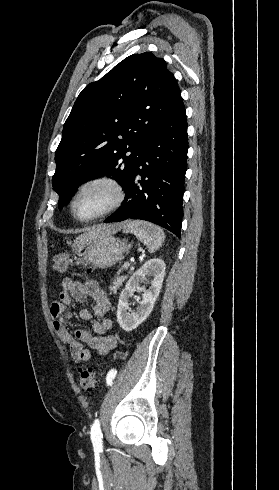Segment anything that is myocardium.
I'll return each mask as SVG.
<instances>
[{"label":"myocardium","instance_id":"f54148a6","mask_svg":"<svg viewBox=\"0 0 279 490\" xmlns=\"http://www.w3.org/2000/svg\"><path fill=\"white\" fill-rule=\"evenodd\" d=\"M103 186L107 188L111 197L109 200L98 210L88 216H80L76 212V203L83 193V191L89 186ZM126 197V192L123 184L120 182L118 178L113 175L101 173L88 176L81 180L74 189L71 201H70V211L73 218L81 223L91 222L95 219H98L104 215L109 214L114 211L123 203Z\"/></svg>","mask_w":279,"mask_h":490}]
</instances>
